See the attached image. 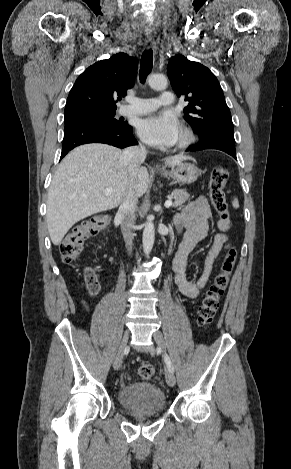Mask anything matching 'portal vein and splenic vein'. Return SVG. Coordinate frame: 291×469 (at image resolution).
Segmentation results:
<instances>
[{
	"label": "portal vein and splenic vein",
	"instance_id": "obj_1",
	"mask_svg": "<svg viewBox=\"0 0 291 469\" xmlns=\"http://www.w3.org/2000/svg\"><path fill=\"white\" fill-rule=\"evenodd\" d=\"M112 192H113V190H112L111 188H107V189L104 191V194H105V195H110V194H112ZM172 205H173V203H172L171 200H167V201L165 202V207H166V208H169V207H171Z\"/></svg>",
	"mask_w": 291,
	"mask_h": 469
}]
</instances>
